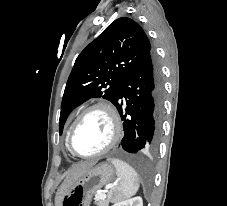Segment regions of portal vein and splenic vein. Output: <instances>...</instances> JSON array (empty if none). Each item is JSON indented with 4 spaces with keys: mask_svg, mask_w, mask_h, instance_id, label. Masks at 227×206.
Wrapping results in <instances>:
<instances>
[{
    "mask_svg": "<svg viewBox=\"0 0 227 206\" xmlns=\"http://www.w3.org/2000/svg\"><path fill=\"white\" fill-rule=\"evenodd\" d=\"M115 185H116V183H114V184H109V185L106 186V189H110V188L114 187ZM96 197H97L98 199H105V198H106V194H105V193H98V194L96 195Z\"/></svg>",
    "mask_w": 227,
    "mask_h": 206,
    "instance_id": "obj_1",
    "label": "portal vein and splenic vein"
}]
</instances>
